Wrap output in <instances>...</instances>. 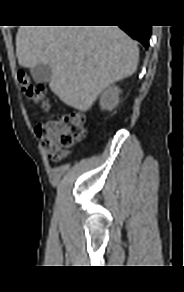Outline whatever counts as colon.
<instances>
[{
    "label": "colon",
    "instance_id": "colon-1",
    "mask_svg": "<svg viewBox=\"0 0 184 292\" xmlns=\"http://www.w3.org/2000/svg\"><path fill=\"white\" fill-rule=\"evenodd\" d=\"M18 82L25 97L38 104L44 111L50 104L46 89L41 84H33L29 76L22 70L18 72ZM35 133L50 160L58 162L66 155V150L85 138L86 129L80 113L48 117L39 122Z\"/></svg>",
    "mask_w": 184,
    "mask_h": 292
}]
</instances>
